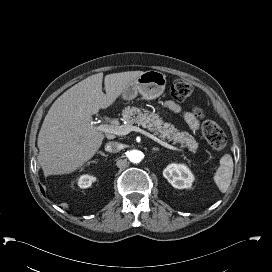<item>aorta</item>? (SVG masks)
I'll list each match as a JSON object with an SVG mask.
<instances>
[{
	"label": "aorta",
	"instance_id": "762f6f07",
	"mask_svg": "<svg viewBox=\"0 0 272 272\" xmlns=\"http://www.w3.org/2000/svg\"><path fill=\"white\" fill-rule=\"evenodd\" d=\"M128 158L132 163H139L142 160V152L139 150H132L128 153Z\"/></svg>",
	"mask_w": 272,
	"mask_h": 272
}]
</instances>
